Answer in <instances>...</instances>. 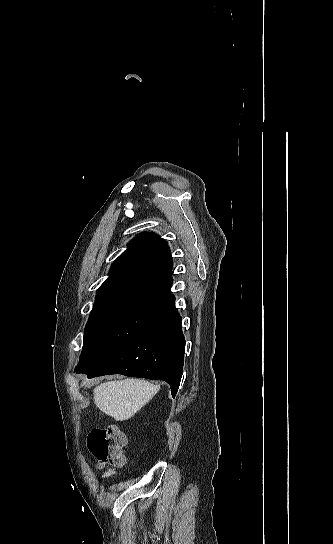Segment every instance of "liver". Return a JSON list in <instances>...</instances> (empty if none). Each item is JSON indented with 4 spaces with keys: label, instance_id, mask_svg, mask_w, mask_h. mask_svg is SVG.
Here are the masks:
<instances>
[{
    "label": "liver",
    "instance_id": "1",
    "mask_svg": "<svg viewBox=\"0 0 333 544\" xmlns=\"http://www.w3.org/2000/svg\"><path fill=\"white\" fill-rule=\"evenodd\" d=\"M159 391L145 380L125 379L100 384L94 389V403L116 421L128 420Z\"/></svg>",
    "mask_w": 333,
    "mask_h": 544
}]
</instances>
